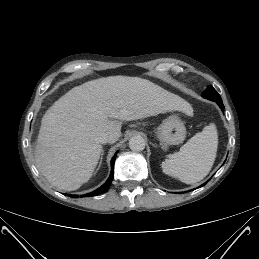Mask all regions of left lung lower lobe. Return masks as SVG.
<instances>
[{"instance_id":"left-lung-lower-lobe-1","label":"left lung lower lobe","mask_w":259,"mask_h":259,"mask_svg":"<svg viewBox=\"0 0 259 259\" xmlns=\"http://www.w3.org/2000/svg\"><path fill=\"white\" fill-rule=\"evenodd\" d=\"M216 102H217V104L220 106V108H221L222 110H224V105H223V103H222V100L216 101Z\"/></svg>"}]
</instances>
